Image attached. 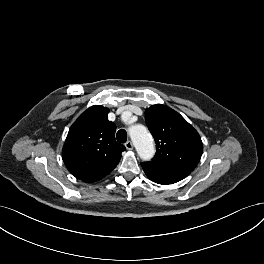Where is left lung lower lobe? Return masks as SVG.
Segmentation results:
<instances>
[{"label": "left lung lower lobe", "instance_id": "1", "mask_svg": "<svg viewBox=\"0 0 264 264\" xmlns=\"http://www.w3.org/2000/svg\"><path fill=\"white\" fill-rule=\"evenodd\" d=\"M141 166L150 180L163 185L176 183L191 173V171L184 168L154 161L143 162Z\"/></svg>", "mask_w": 264, "mask_h": 264}]
</instances>
